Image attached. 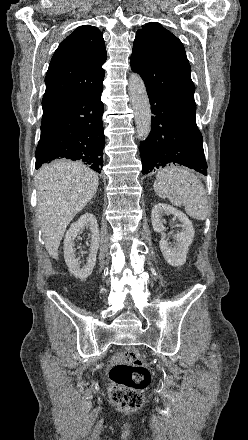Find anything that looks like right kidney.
<instances>
[{"label": "right kidney", "mask_w": 248, "mask_h": 440, "mask_svg": "<svg viewBox=\"0 0 248 440\" xmlns=\"http://www.w3.org/2000/svg\"><path fill=\"white\" fill-rule=\"evenodd\" d=\"M84 228L90 230L91 244L89 256L85 266L82 268L76 259V249L74 240L78 237L80 231ZM99 229L96 217L91 213H85L76 222L72 223L64 239V259L71 274L77 279L85 281L92 273L96 264V254L99 248Z\"/></svg>", "instance_id": "ca27d5eb"}]
</instances>
